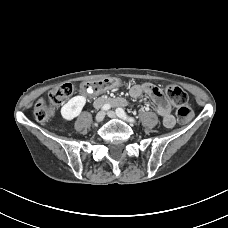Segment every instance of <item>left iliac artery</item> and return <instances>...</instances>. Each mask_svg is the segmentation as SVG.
Masks as SVG:
<instances>
[{"mask_svg":"<svg viewBox=\"0 0 228 228\" xmlns=\"http://www.w3.org/2000/svg\"><path fill=\"white\" fill-rule=\"evenodd\" d=\"M116 114L118 117L127 120L129 122H135V119L133 117H129L126 112L122 108H117L116 109Z\"/></svg>","mask_w":228,"mask_h":228,"instance_id":"obj_1","label":"left iliac artery"}]
</instances>
